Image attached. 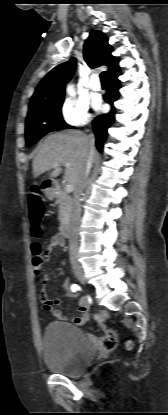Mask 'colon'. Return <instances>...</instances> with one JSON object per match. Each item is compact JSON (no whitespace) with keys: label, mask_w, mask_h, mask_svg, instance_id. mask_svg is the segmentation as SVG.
<instances>
[{"label":"colon","mask_w":168,"mask_h":415,"mask_svg":"<svg viewBox=\"0 0 168 415\" xmlns=\"http://www.w3.org/2000/svg\"><path fill=\"white\" fill-rule=\"evenodd\" d=\"M28 207H29V218L31 223V232L35 237H40L42 235V228L40 226V222L42 220L43 212H42V202L41 198L37 194H31L28 199ZM33 256H32V267L33 273L37 276L43 275V267L42 263L44 262V257L41 254L42 248L41 245L38 243H34L32 246ZM109 318V314L107 312H99L95 315V321L104 331V335L101 337H92L93 342L96 348L100 352H108L112 350L116 345V335L111 330L105 327L104 323ZM127 347L131 348V342L127 343Z\"/></svg>","instance_id":"5ec220e1"}]
</instances>
